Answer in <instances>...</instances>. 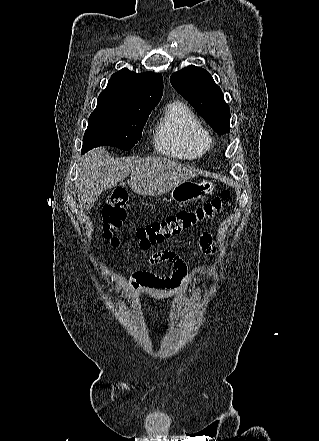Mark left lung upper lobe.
Wrapping results in <instances>:
<instances>
[{
    "label": "left lung upper lobe",
    "mask_w": 319,
    "mask_h": 441,
    "mask_svg": "<svg viewBox=\"0 0 319 441\" xmlns=\"http://www.w3.org/2000/svg\"><path fill=\"white\" fill-rule=\"evenodd\" d=\"M170 82L215 132H230L229 106L220 87L205 69L190 65L173 73Z\"/></svg>",
    "instance_id": "left-lung-upper-lobe-1"
}]
</instances>
